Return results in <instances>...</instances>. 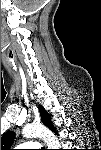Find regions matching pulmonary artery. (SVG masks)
Listing matches in <instances>:
<instances>
[{
    "mask_svg": "<svg viewBox=\"0 0 101 150\" xmlns=\"http://www.w3.org/2000/svg\"><path fill=\"white\" fill-rule=\"evenodd\" d=\"M39 146L38 143L36 142H27L22 144L20 147H24V148H37Z\"/></svg>",
    "mask_w": 101,
    "mask_h": 150,
    "instance_id": "1",
    "label": "pulmonary artery"
}]
</instances>
